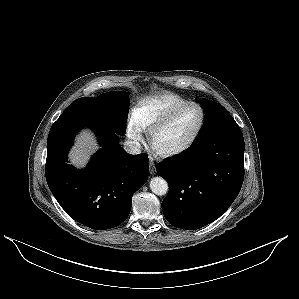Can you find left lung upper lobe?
<instances>
[{
    "label": "left lung upper lobe",
    "mask_w": 299,
    "mask_h": 299,
    "mask_svg": "<svg viewBox=\"0 0 299 299\" xmlns=\"http://www.w3.org/2000/svg\"><path fill=\"white\" fill-rule=\"evenodd\" d=\"M196 101L204 109L205 121L194 142H198L210 131L217 128L226 120L232 118L227 110L219 103L209 101L204 98H196Z\"/></svg>",
    "instance_id": "left-lung-upper-lobe-1"
}]
</instances>
